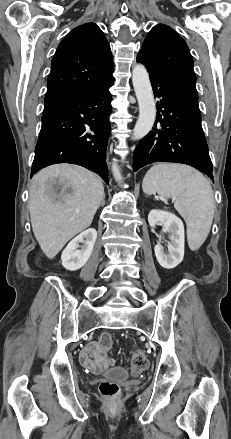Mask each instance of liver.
<instances>
[{"label": "liver", "mask_w": 231, "mask_h": 439, "mask_svg": "<svg viewBox=\"0 0 231 439\" xmlns=\"http://www.w3.org/2000/svg\"><path fill=\"white\" fill-rule=\"evenodd\" d=\"M104 197L101 179L83 167L55 164L33 177L29 196L31 224L49 259L91 225Z\"/></svg>", "instance_id": "6515ba94"}]
</instances>
